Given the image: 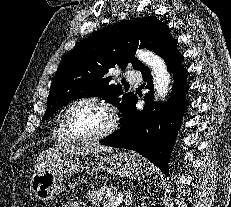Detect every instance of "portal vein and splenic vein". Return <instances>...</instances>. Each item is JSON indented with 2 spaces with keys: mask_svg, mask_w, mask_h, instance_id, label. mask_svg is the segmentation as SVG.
Wrapping results in <instances>:
<instances>
[{
  "mask_svg": "<svg viewBox=\"0 0 231 207\" xmlns=\"http://www.w3.org/2000/svg\"><path fill=\"white\" fill-rule=\"evenodd\" d=\"M122 202V195L118 196L114 201L109 203V207H117ZM104 207H107L106 204L103 205Z\"/></svg>",
  "mask_w": 231,
  "mask_h": 207,
  "instance_id": "18ae733b",
  "label": "portal vein and splenic vein"
}]
</instances>
